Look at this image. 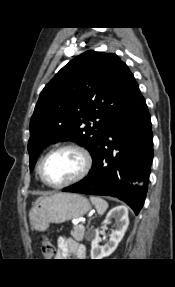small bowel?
<instances>
[{"label": "small bowel", "mask_w": 175, "mask_h": 287, "mask_svg": "<svg viewBox=\"0 0 175 287\" xmlns=\"http://www.w3.org/2000/svg\"><path fill=\"white\" fill-rule=\"evenodd\" d=\"M58 251L57 258L67 259L72 257L77 260L85 259L86 247L73 239H66L65 237H59L57 240Z\"/></svg>", "instance_id": "c3829d8e"}]
</instances>
